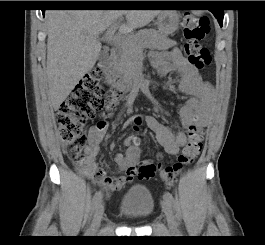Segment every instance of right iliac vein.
<instances>
[{
	"mask_svg": "<svg viewBox=\"0 0 265 245\" xmlns=\"http://www.w3.org/2000/svg\"><path fill=\"white\" fill-rule=\"evenodd\" d=\"M103 213H104V204L100 202L95 208L92 224L87 232V236L91 237L96 235L102 220Z\"/></svg>",
	"mask_w": 265,
	"mask_h": 245,
	"instance_id": "obj_1",
	"label": "right iliac vein"
}]
</instances>
